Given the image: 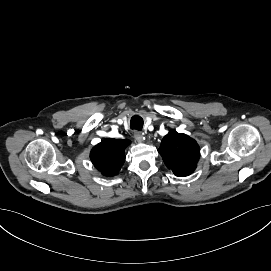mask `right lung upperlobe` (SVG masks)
Here are the masks:
<instances>
[{"mask_svg": "<svg viewBox=\"0 0 271 271\" xmlns=\"http://www.w3.org/2000/svg\"><path fill=\"white\" fill-rule=\"evenodd\" d=\"M129 144L127 139H106L93 147L90 159L104 176L112 177L124 164V150Z\"/></svg>", "mask_w": 271, "mask_h": 271, "instance_id": "cb5924a9", "label": "right lung upper lobe"}]
</instances>
